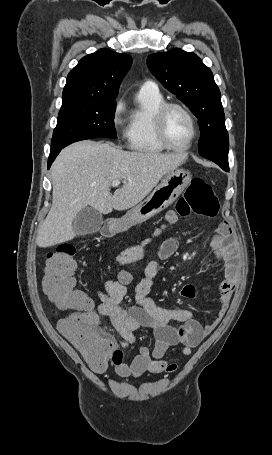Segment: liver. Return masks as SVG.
Instances as JSON below:
<instances>
[{
    "label": "liver",
    "mask_w": 272,
    "mask_h": 455,
    "mask_svg": "<svg viewBox=\"0 0 272 455\" xmlns=\"http://www.w3.org/2000/svg\"><path fill=\"white\" fill-rule=\"evenodd\" d=\"M186 154L128 152L111 143L82 141L69 145L51 167L52 206L36 238L46 248L72 240L76 215L90 205L102 214L135 207ZM123 186L110 193L112 181Z\"/></svg>",
    "instance_id": "liver-1"
}]
</instances>
